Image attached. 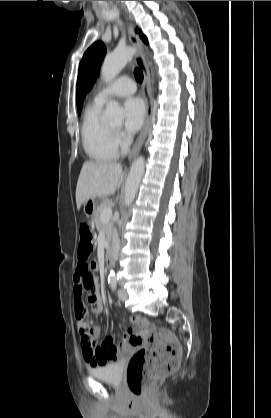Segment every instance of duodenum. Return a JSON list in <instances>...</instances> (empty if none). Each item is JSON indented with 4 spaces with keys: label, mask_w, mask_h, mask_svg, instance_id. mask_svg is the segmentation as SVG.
Instances as JSON below:
<instances>
[{
    "label": "duodenum",
    "mask_w": 271,
    "mask_h": 418,
    "mask_svg": "<svg viewBox=\"0 0 271 418\" xmlns=\"http://www.w3.org/2000/svg\"><path fill=\"white\" fill-rule=\"evenodd\" d=\"M113 259H114V250L112 247H110L107 251H106V256H105V266L107 268H110L112 263H113Z\"/></svg>",
    "instance_id": "obj_1"
}]
</instances>
